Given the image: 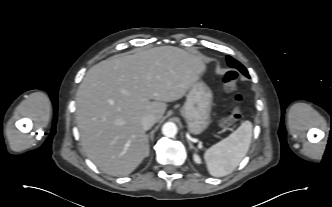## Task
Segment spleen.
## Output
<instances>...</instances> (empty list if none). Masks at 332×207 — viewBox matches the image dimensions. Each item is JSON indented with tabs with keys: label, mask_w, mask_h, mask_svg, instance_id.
<instances>
[{
	"label": "spleen",
	"mask_w": 332,
	"mask_h": 207,
	"mask_svg": "<svg viewBox=\"0 0 332 207\" xmlns=\"http://www.w3.org/2000/svg\"><path fill=\"white\" fill-rule=\"evenodd\" d=\"M252 138V123L243 122L233 133L211 146L204 154L212 176L223 177L235 170L247 154Z\"/></svg>",
	"instance_id": "obj_1"
}]
</instances>
